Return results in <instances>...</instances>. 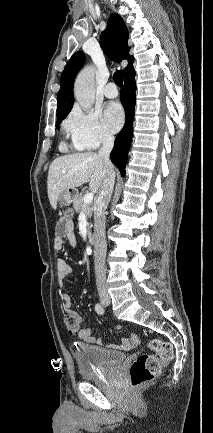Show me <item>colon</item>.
I'll return each mask as SVG.
<instances>
[{
	"label": "colon",
	"instance_id": "colon-1",
	"mask_svg": "<svg viewBox=\"0 0 213 433\" xmlns=\"http://www.w3.org/2000/svg\"><path fill=\"white\" fill-rule=\"evenodd\" d=\"M62 320L70 334H76L81 330L82 319L76 311L66 312ZM147 347L155 354H141L130 366L129 378L133 388L156 378L161 369L174 357L173 346L169 342L151 339L147 342Z\"/></svg>",
	"mask_w": 213,
	"mask_h": 433
}]
</instances>
